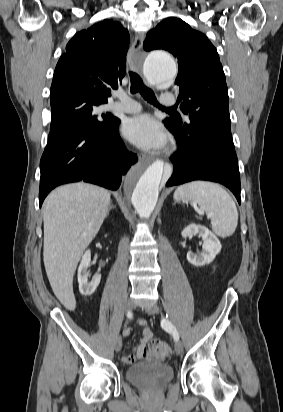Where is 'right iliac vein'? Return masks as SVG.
<instances>
[{"label":"right iliac vein","mask_w":283,"mask_h":412,"mask_svg":"<svg viewBox=\"0 0 283 412\" xmlns=\"http://www.w3.org/2000/svg\"><path fill=\"white\" fill-rule=\"evenodd\" d=\"M133 306H134L133 301H132L131 299H129V300L126 302V310H127V311L132 310V309H133ZM121 347H122V337H121V336H118V337L115 339V343H114L115 351H116V352L120 351Z\"/></svg>","instance_id":"63e3f726"}]
</instances>
